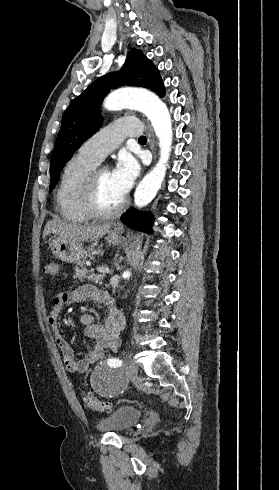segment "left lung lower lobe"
Returning <instances> with one entry per match:
<instances>
[{"instance_id": "1", "label": "left lung lower lobe", "mask_w": 279, "mask_h": 490, "mask_svg": "<svg viewBox=\"0 0 279 490\" xmlns=\"http://www.w3.org/2000/svg\"><path fill=\"white\" fill-rule=\"evenodd\" d=\"M121 221L128 227L151 233L152 229V218L148 215L141 214L140 212L134 210L133 208L128 209L122 216Z\"/></svg>"}]
</instances>
